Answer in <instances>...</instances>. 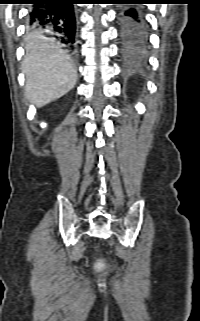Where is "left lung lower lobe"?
I'll list each match as a JSON object with an SVG mask.
<instances>
[{
    "mask_svg": "<svg viewBox=\"0 0 200 321\" xmlns=\"http://www.w3.org/2000/svg\"><path fill=\"white\" fill-rule=\"evenodd\" d=\"M148 0H121L120 4H143ZM120 36L126 51L140 53L147 46V34L137 9L126 7L119 13Z\"/></svg>",
    "mask_w": 200,
    "mask_h": 321,
    "instance_id": "1",
    "label": "left lung lower lobe"
}]
</instances>
